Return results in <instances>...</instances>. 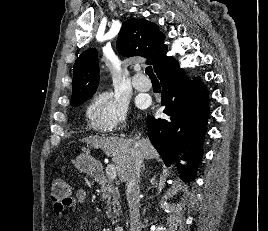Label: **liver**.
<instances>
[{
    "label": "liver",
    "instance_id": "obj_1",
    "mask_svg": "<svg viewBox=\"0 0 268 231\" xmlns=\"http://www.w3.org/2000/svg\"><path fill=\"white\" fill-rule=\"evenodd\" d=\"M140 135L130 139L89 136L82 139V141L87 143V145L102 149L106 154H111L112 161L116 166V172L120 180L124 181L125 172L131 164L132 150H137L142 160L158 157V153L151 145L149 139L140 138ZM84 151L88 153V150L85 148Z\"/></svg>",
    "mask_w": 268,
    "mask_h": 231
}]
</instances>
